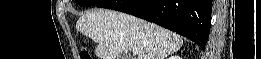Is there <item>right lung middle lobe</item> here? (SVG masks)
I'll return each instance as SVG.
<instances>
[{"instance_id":"right-lung-middle-lobe-1","label":"right lung middle lobe","mask_w":261,"mask_h":59,"mask_svg":"<svg viewBox=\"0 0 261 59\" xmlns=\"http://www.w3.org/2000/svg\"><path fill=\"white\" fill-rule=\"evenodd\" d=\"M102 0H77V4L80 6H93L100 3Z\"/></svg>"}]
</instances>
